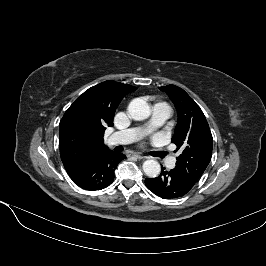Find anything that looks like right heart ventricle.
Wrapping results in <instances>:
<instances>
[{"label":"right heart ventricle","instance_id":"e07e8e85","mask_svg":"<svg viewBox=\"0 0 266 266\" xmlns=\"http://www.w3.org/2000/svg\"><path fill=\"white\" fill-rule=\"evenodd\" d=\"M156 105H162V106L166 107L170 111L169 107L165 103H157Z\"/></svg>","mask_w":266,"mask_h":266}]
</instances>
